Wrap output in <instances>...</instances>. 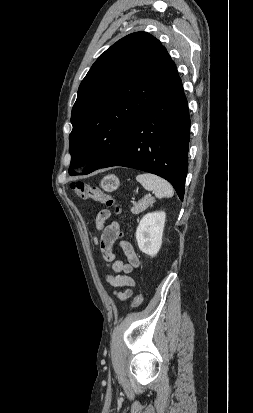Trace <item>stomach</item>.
Here are the masks:
<instances>
[{"instance_id": "obj_1", "label": "stomach", "mask_w": 253, "mask_h": 413, "mask_svg": "<svg viewBox=\"0 0 253 413\" xmlns=\"http://www.w3.org/2000/svg\"><path fill=\"white\" fill-rule=\"evenodd\" d=\"M120 186V181L115 175L105 176L100 183V187L106 192H113Z\"/></svg>"}]
</instances>
